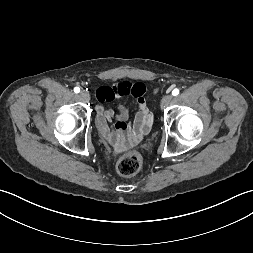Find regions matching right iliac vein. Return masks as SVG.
Masks as SVG:
<instances>
[{"mask_svg":"<svg viewBox=\"0 0 253 253\" xmlns=\"http://www.w3.org/2000/svg\"><path fill=\"white\" fill-rule=\"evenodd\" d=\"M79 96L86 102L90 100V94L84 90L80 92Z\"/></svg>","mask_w":253,"mask_h":253,"instance_id":"63e3f726","label":"right iliac vein"}]
</instances>
